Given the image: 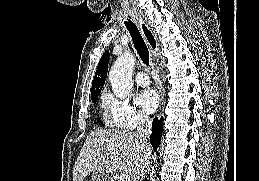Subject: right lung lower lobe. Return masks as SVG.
Returning a JSON list of instances; mask_svg holds the SVG:
<instances>
[{
  "instance_id": "1",
  "label": "right lung lower lobe",
  "mask_w": 259,
  "mask_h": 181,
  "mask_svg": "<svg viewBox=\"0 0 259 181\" xmlns=\"http://www.w3.org/2000/svg\"><path fill=\"white\" fill-rule=\"evenodd\" d=\"M162 130H163V118L158 120V118H155L152 123V134L150 136V143L153 146L154 149H157L161 137H162Z\"/></svg>"
}]
</instances>
